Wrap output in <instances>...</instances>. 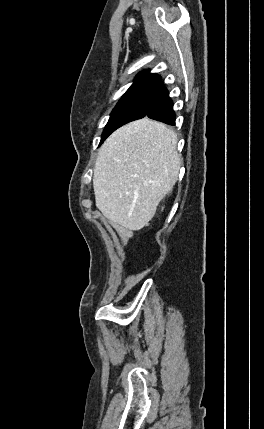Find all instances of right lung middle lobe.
<instances>
[{
	"label": "right lung middle lobe",
	"mask_w": 264,
	"mask_h": 429,
	"mask_svg": "<svg viewBox=\"0 0 264 429\" xmlns=\"http://www.w3.org/2000/svg\"><path fill=\"white\" fill-rule=\"evenodd\" d=\"M161 88H138L128 90L113 109L104 128L100 144L120 126L146 116L161 95Z\"/></svg>",
	"instance_id": "obj_1"
}]
</instances>
